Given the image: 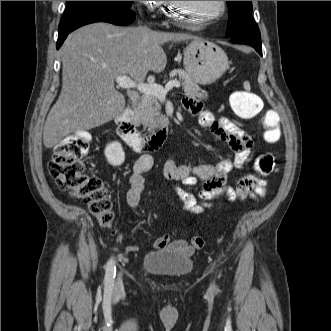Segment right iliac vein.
<instances>
[{"label": "right iliac vein", "instance_id": "63e3f726", "mask_svg": "<svg viewBox=\"0 0 331 331\" xmlns=\"http://www.w3.org/2000/svg\"><path fill=\"white\" fill-rule=\"evenodd\" d=\"M123 291V283H122V279L121 277L119 276L117 281H116V285H115V292L117 294H121Z\"/></svg>", "mask_w": 331, "mask_h": 331}]
</instances>
